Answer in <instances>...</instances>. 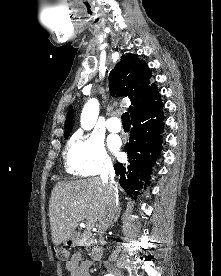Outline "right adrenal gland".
<instances>
[{"label":"right adrenal gland","mask_w":221,"mask_h":276,"mask_svg":"<svg viewBox=\"0 0 221 276\" xmlns=\"http://www.w3.org/2000/svg\"><path fill=\"white\" fill-rule=\"evenodd\" d=\"M119 214H120V208H119V210H118V214H117L116 218L114 219V221H113L112 224H111V227H113V226H114V223L118 220Z\"/></svg>","instance_id":"obj_1"}]
</instances>
